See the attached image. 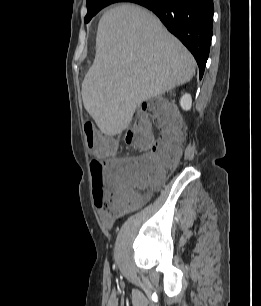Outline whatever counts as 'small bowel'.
<instances>
[{"label": "small bowel", "instance_id": "small-bowel-1", "mask_svg": "<svg viewBox=\"0 0 261 306\" xmlns=\"http://www.w3.org/2000/svg\"><path fill=\"white\" fill-rule=\"evenodd\" d=\"M114 159H117V158L104 159L103 163L107 164V165H110V164H112ZM150 195H151V191H148L144 196L141 197V200L148 199L150 197ZM99 217H100V220L102 221V223L105 226H111L116 219V215L114 213H111V212H108V211H105V210H102V211L99 212Z\"/></svg>", "mask_w": 261, "mask_h": 306}]
</instances>
